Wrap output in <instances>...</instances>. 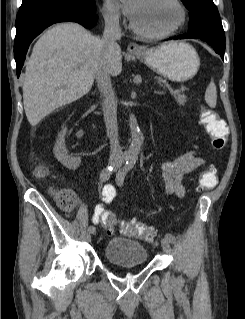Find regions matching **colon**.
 <instances>
[{
    "instance_id": "1",
    "label": "colon",
    "mask_w": 245,
    "mask_h": 319,
    "mask_svg": "<svg viewBox=\"0 0 245 319\" xmlns=\"http://www.w3.org/2000/svg\"><path fill=\"white\" fill-rule=\"evenodd\" d=\"M201 121L211 139V145L215 150H222L227 144L228 130L223 120L219 118L217 113L208 108L201 109ZM39 176L46 174L45 169L39 168L37 171ZM217 184L216 169L211 166L205 170L199 177V190L213 188ZM56 197L61 209L65 211L72 210L77 204V197L69 189H58ZM102 226L109 232H114L117 228L128 236L144 239L148 242H153L156 234L145 223L122 220L119 221L111 212H105L102 215Z\"/></svg>"
}]
</instances>
